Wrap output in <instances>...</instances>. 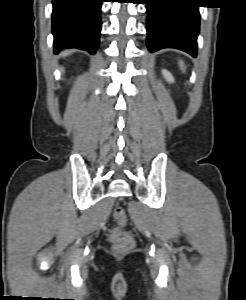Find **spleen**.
<instances>
[{
	"mask_svg": "<svg viewBox=\"0 0 246 300\" xmlns=\"http://www.w3.org/2000/svg\"><path fill=\"white\" fill-rule=\"evenodd\" d=\"M179 65H180L181 70L184 71L185 70L184 62L183 61H179Z\"/></svg>",
	"mask_w": 246,
	"mask_h": 300,
	"instance_id": "1",
	"label": "spleen"
}]
</instances>
